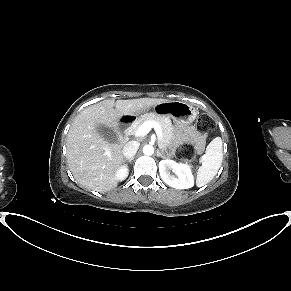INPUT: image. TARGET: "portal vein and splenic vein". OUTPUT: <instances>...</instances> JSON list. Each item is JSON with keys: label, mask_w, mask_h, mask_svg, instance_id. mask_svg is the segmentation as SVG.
<instances>
[{"label": "portal vein and splenic vein", "mask_w": 291, "mask_h": 291, "mask_svg": "<svg viewBox=\"0 0 291 291\" xmlns=\"http://www.w3.org/2000/svg\"><path fill=\"white\" fill-rule=\"evenodd\" d=\"M154 128L156 134H157V137L158 139L161 137V127L160 125L155 122V121H145L141 127H139V129L137 130V132L135 133V136L136 137H139V136H145L147 135L150 130Z\"/></svg>", "instance_id": "portal-vein-and-splenic-vein-1"}]
</instances>
